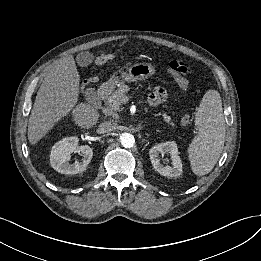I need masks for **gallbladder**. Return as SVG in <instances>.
Returning <instances> with one entry per match:
<instances>
[{"label":"gallbladder","instance_id":"obj_1","mask_svg":"<svg viewBox=\"0 0 261 261\" xmlns=\"http://www.w3.org/2000/svg\"><path fill=\"white\" fill-rule=\"evenodd\" d=\"M77 62L81 67H86L92 62V55L90 53H81L77 56ZM85 96L87 101H89L91 104L96 103V98L93 97L95 94L93 93L92 89H89Z\"/></svg>","mask_w":261,"mask_h":261}]
</instances>
